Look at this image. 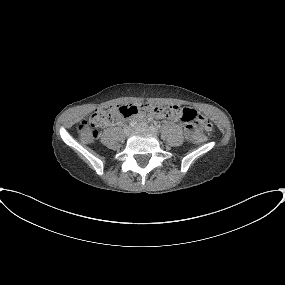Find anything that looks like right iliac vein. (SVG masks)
Wrapping results in <instances>:
<instances>
[{
    "instance_id": "obj_1",
    "label": "right iliac vein",
    "mask_w": 285,
    "mask_h": 285,
    "mask_svg": "<svg viewBox=\"0 0 285 285\" xmlns=\"http://www.w3.org/2000/svg\"><path fill=\"white\" fill-rule=\"evenodd\" d=\"M132 130H133L132 127H126L124 129V134L128 136L132 133Z\"/></svg>"
}]
</instances>
